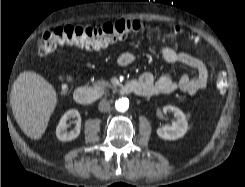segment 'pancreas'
<instances>
[{"label":"pancreas","mask_w":245,"mask_h":187,"mask_svg":"<svg viewBox=\"0 0 245 187\" xmlns=\"http://www.w3.org/2000/svg\"><path fill=\"white\" fill-rule=\"evenodd\" d=\"M94 87L102 92H104L106 90V88H111L113 90L117 89V85L116 84H111L108 81L105 80H98L94 83Z\"/></svg>","instance_id":"pancreas-1"}]
</instances>
